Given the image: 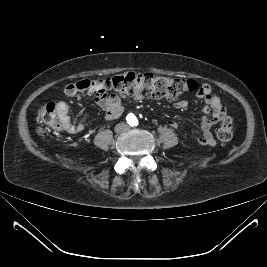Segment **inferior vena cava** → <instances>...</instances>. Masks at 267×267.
Segmentation results:
<instances>
[{
	"instance_id": "obj_1",
	"label": "inferior vena cava",
	"mask_w": 267,
	"mask_h": 267,
	"mask_svg": "<svg viewBox=\"0 0 267 267\" xmlns=\"http://www.w3.org/2000/svg\"><path fill=\"white\" fill-rule=\"evenodd\" d=\"M128 129V125L125 123L117 124L115 127L116 132H123Z\"/></svg>"
}]
</instances>
